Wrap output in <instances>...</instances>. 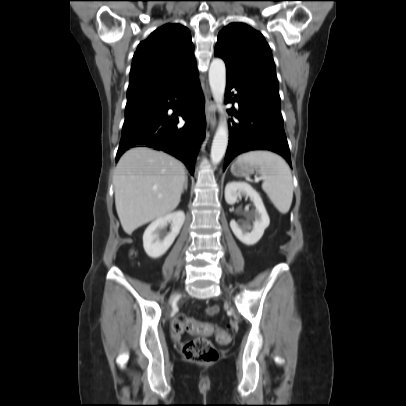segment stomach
<instances>
[{
  "label": "stomach",
  "instance_id": "obj_1",
  "mask_svg": "<svg viewBox=\"0 0 406 406\" xmlns=\"http://www.w3.org/2000/svg\"><path fill=\"white\" fill-rule=\"evenodd\" d=\"M256 169L255 165L236 160L231 166V173L237 177H247L253 174Z\"/></svg>",
  "mask_w": 406,
  "mask_h": 406
}]
</instances>
